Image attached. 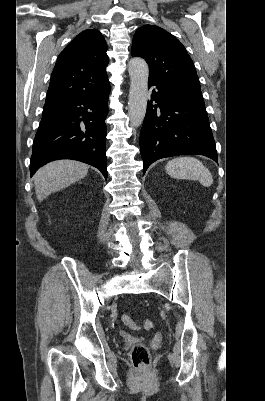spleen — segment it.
Returning <instances> with one entry per match:
<instances>
[{
	"label": "spleen",
	"mask_w": 265,
	"mask_h": 401,
	"mask_svg": "<svg viewBox=\"0 0 265 401\" xmlns=\"http://www.w3.org/2000/svg\"><path fill=\"white\" fill-rule=\"evenodd\" d=\"M165 170L172 178L199 180L203 186L213 184V176L210 170L204 166L203 162H200L198 158H193V156H179V158L168 160Z\"/></svg>",
	"instance_id": "spleen-1"
}]
</instances>
